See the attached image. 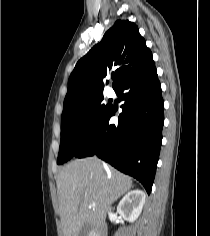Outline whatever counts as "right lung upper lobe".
<instances>
[{"label": "right lung upper lobe", "instance_id": "obj_1", "mask_svg": "<svg viewBox=\"0 0 210 236\" xmlns=\"http://www.w3.org/2000/svg\"><path fill=\"white\" fill-rule=\"evenodd\" d=\"M153 63L152 53L138 27L130 21L117 20L101 42L77 62L68 80L63 113L103 96L104 77L112 68L116 69L117 76L113 83L115 90Z\"/></svg>", "mask_w": 210, "mask_h": 236}]
</instances>
